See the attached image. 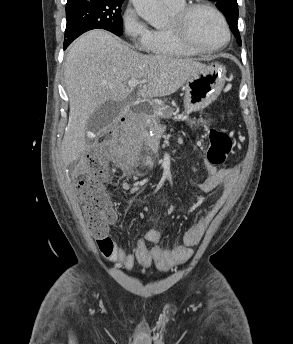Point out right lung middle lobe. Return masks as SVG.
I'll return each mask as SVG.
<instances>
[{"mask_svg": "<svg viewBox=\"0 0 293 344\" xmlns=\"http://www.w3.org/2000/svg\"><path fill=\"white\" fill-rule=\"evenodd\" d=\"M123 1L80 0L66 4L67 25L64 49L79 35L92 29H105L121 36Z\"/></svg>", "mask_w": 293, "mask_h": 344, "instance_id": "obj_1", "label": "right lung middle lobe"}]
</instances>
